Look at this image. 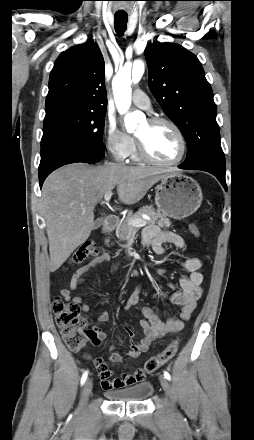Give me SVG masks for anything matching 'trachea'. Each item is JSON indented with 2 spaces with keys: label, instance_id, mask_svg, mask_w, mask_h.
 <instances>
[{
  "label": "trachea",
  "instance_id": "3493384b",
  "mask_svg": "<svg viewBox=\"0 0 254 440\" xmlns=\"http://www.w3.org/2000/svg\"><path fill=\"white\" fill-rule=\"evenodd\" d=\"M127 21V16L115 15L114 26L119 35L123 34L126 30Z\"/></svg>",
  "mask_w": 254,
  "mask_h": 440
}]
</instances>
